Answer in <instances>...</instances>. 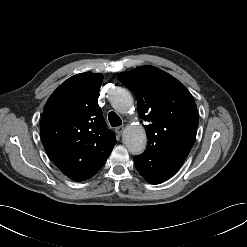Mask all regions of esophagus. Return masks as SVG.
Listing matches in <instances>:
<instances>
[{"label": "esophagus", "instance_id": "1", "mask_svg": "<svg viewBox=\"0 0 247 247\" xmlns=\"http://www.w3.org/2000/svg\"><path fill=\"white\" fill-rule=\"evenodd\" d=\"M123 131H124V126H119L115 128V132L118 136H120Z\"/></svg>", "mask_w": 247, "mask_h": 247}]
</instances>
